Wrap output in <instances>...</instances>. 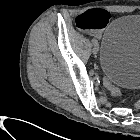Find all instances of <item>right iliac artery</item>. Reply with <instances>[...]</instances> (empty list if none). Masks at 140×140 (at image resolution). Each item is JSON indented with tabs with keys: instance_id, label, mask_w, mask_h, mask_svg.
<instances>
[{
	"instance_id": "1",
	"label": "right iliac artery",
	"mask_w": 140,
	"mask_h": 140,
	"mask_svg": "<svg viewBox=\"0 0 140 140\" xmlns=\"http://www.w3.org/2000/svg\"><path fill=\"white\" fill-rule=\"evenodd\" d=\"M92 42H95V39H92Z\"/></svg>"
}]
</instances>
